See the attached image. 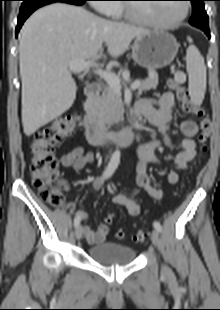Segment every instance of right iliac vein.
<instances>
[{
    "label": "right iliac vein",
    "mask_w": 220,
    "mask_h": 310,
    "mask_svg": "<svg viewBox=\"0 0 220 310\" xmlns=\"http://www.w3.org/2000/svg\"><path fill=\"white\" fill-rule=\"evenodd\" d=\"M82 235H83V227L81 225H78L75 230V237L77 240H80L82 238Z\"/></svg>",
    "instance_id": "right-iliac-vein-1"
}]
</instances>
